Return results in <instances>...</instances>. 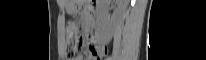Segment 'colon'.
Listing matches in <instances>:
<instances>
[{"instance_id": "5ec220e1", "label": "colon", "mask_w": 206, "mask_h": 60, "mask_svg": "<svg viewBox=\"0 0 206 60\" xmlns=\"http://www.w3.org/2000/svg\"><path fill=\"white\" fill-rule=\"evenodd\" d=\"M68 49L67 57L69 60H75L78 57L82 41L79 35L78 27L74 22L67 24Z\"/></svg>"}]
</instances>
